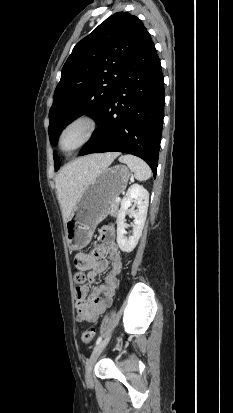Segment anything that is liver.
Segmentation results:
<instances>
[{
	"mask_svg": "<svg viewBox=\"0 0 233 413\" xmlns=\"http://www.w3.org/2000/svg\"><path fill=\"white\" fill-rule=\"evenodd\" d=\"M118 155L119 153L93 154L73 160L60 170L55 183L64 223L67 222L84 189Z\"/></svg>",
	"mask_w": 233,
	"mask_h": 413,
	"instance_id": "liver-1",
	"label": "liver"
}]
</instances>
